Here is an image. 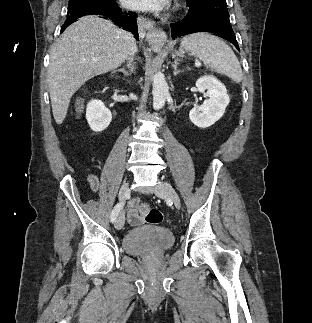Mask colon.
Segmentation results:
<instances>
[{"label":"colon","instance_id":"obj_1","mask_svg":"<svg viewBox=\"0 0 312 323\" xmlns=\"http://www.w3.org/2000/svg\"><path fill=\"white\" fill-rule=\"evenodd\" d=\"M139 211L144 214L145 221L149 224H161L163 222L162 220V213L159 209L153 208L149 206L148 204H140L138 207ZM162 221V222H161Z\"/></svg>","mask_w":312,"mask_h":323}]
</instances>
